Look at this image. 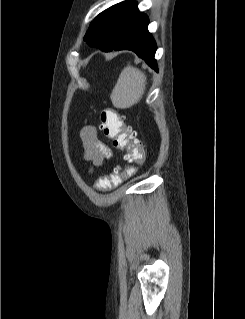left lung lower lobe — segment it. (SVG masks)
<instances>
[{
	"label": "left lung lower lobe",
	"mask_w": 245,
	"mask_h": 319,
	"mask_svg": "<svg viewBox=\"0 0 245 319\" xmlns=\"http://www.w3.org/2000/svg\"><path fill=\"white\" fill-rule=\"evenodd\" d=\"M148 17L139 11L130 19L117 40L110 47H101L102 51L108 52L112 49H128L134 51L139 57L157 71L156 43L152 35L148 32Z\"/></svg>",
	"instance_id": "obj_1"
}]
</instances>
